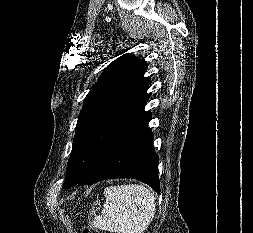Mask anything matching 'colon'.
Returning <instances> with one entry per match:
<instances>
[{
  "label": "colon",
  "mask_w": 253,
  "mask_h": 233,
  "mask_svg": "<svg viewBox=\"0 0 253 233\" xmlns=\"http://www.w3.org/2000/svg\"><path fill=\"white\" fill-rule=\"evenodd\" d=\"M99 208V204L95 203L93 206V210L88 218V222L86 226L83 228L82 233H99L97 228L93 224V219L95 217V212Z\"/></svg>",
  "instance_id": "colon-1"
}]
</instances>
